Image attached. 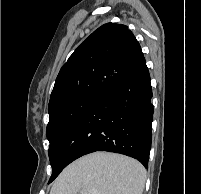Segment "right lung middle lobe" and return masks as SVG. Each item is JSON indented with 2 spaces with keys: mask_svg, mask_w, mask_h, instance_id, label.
Instances as JSON below:
<instances>
[{
  "mask_svg": "<svg viewBox=\"0 0 201 194\" xmlns=\"http://www.w3.org/2000/svg\"><path fill=\"white\" fill-rule=\"evenodd\" d=\"M100 97V95H86L62 102L48 111L50 119L46 134L50 142L49 159L53 173L49 180L51 183L58 174L57 165L53 160V153L69 127Z\"/></svg>",
  "mask_w": 201,
  "mask_h": 194,
  "instance_id": "obj_1",
  "label": "right lung middle lobe"
}]
</instances>
